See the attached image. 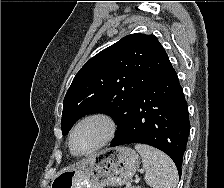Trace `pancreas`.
Returning a JSON list of instances; mask_svg holds the SVG:
<instances>
[{
	"label": "pancreas",
	"mask_w": 224,
	"mask_h": 188,
	"mask_svg": "<svg viewBox=\"0 0 224 188\" xmlns=\"http://www.w3.org/2000/svg\"><path fill=\"white\" fill-rule=\"evenodd\" d=\"M133 188H140V187L138 186V187H133Z\"/></svg>",
	"instance_id": "cf45deb5"
}]
</instances>
